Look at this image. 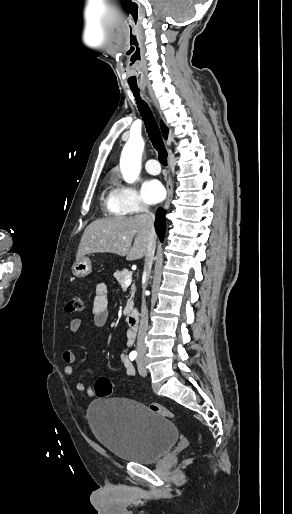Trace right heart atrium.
Returning <instances> with one entry per match:
<instances>
[{
  "instance_id": "right-heart-atrium-1",
  "label": "right heart atrium",
  "mask_w": 292,
  "mask_h": 514,
  "mask_svg": "<svg viewBox=\"0 0 292 514\" xmlns=\"http://www.w3.org/2000/svg\"><path fill=\"white\" fill-rule=\"evenodd\" d=\"M117 201L127 212L128 209H147V204L134 184H120L115 188Z\"/></svg>"
}]
</instances>
